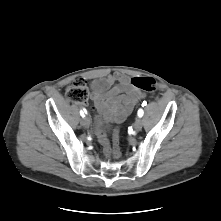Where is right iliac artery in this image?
Returning <instances> with one entry per match:
<instances>
[{
	"label": "right iliac artery",
	"mask_w": 221,
	"mask_h": 221,
	"mask_svg": "<svg viewBox=\"0 0 221 221\" xmlns=\"http://www.w3.org/2000/svg\"><path fill=\"white\" fill-rule=\"evenodd\" d=\"M86 113H87V111H86L85 109H83V110L80 111V115H81L82 117H84Z\"/></svg>",
	"instance_id": "1"
}]
</instances>
